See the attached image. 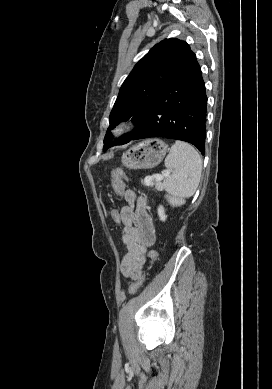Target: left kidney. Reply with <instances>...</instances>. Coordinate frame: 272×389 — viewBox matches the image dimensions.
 <instances>
[{"label":"left kidney","mask_w":272,"mask_h":389,"mask_svg":"<svg viewBox=\"0 0 272 389\" xmlns=\"http://www.w3.org/2000/svg\"><path fill=\"white\" fill-rule=\"evenodd\" d=\"M158 215L161 221H165L167 218L164 207L161 205L158 207Z\"/></svg>","instance_id":"1"}]
</instances>
